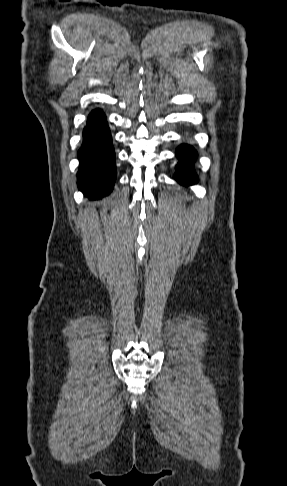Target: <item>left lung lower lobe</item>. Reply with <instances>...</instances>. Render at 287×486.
<instances>
[{
    "label": "left lung lower lobe",
    "instance_id": "obj_1",
    "mask_svg": "<svg viewBox=\"0 0 287 486\" xmlns=\"http://www.w3.org/2000/svg\"><path fill=\"white\" fill-rule=\"evenodd\" d=\"M176 155L179 159L177 172L174 178L181 184L190 185L197 181L193 163L196 159V151L189 145H181L176 150Z\"/></svg>",
    "mask_w": 287,
    "mask_h": 486
}]
</instances>
